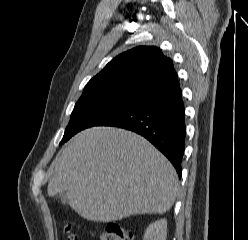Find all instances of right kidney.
Instances as JSON below:
<instances>
[{"label": "right kidney", "instance_id": "right-kidney-1", "mask_svg": "<svg viewBox=\"0 0 248 240\" xmlns=\"http://www.w3.org/2000/svg\"><path fill=\"white\" fill-rule=\"evenodd\" d=\"M167 220L160 219L150 224L145 231L143 240H166Z\"/></svg>", "mask_w": 248, "mask_h": 240}]
</instances>
